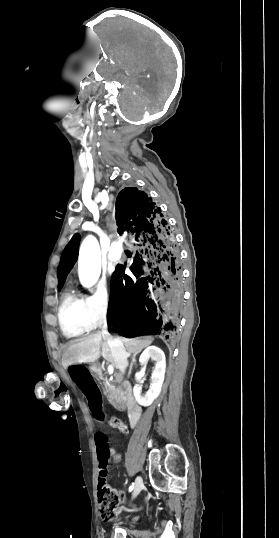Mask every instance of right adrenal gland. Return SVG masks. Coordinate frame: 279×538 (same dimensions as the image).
<instances>
[{"instance_id": "right-adrenal-gland-1", "label": "right adrenal gland", "mask_w": 279, "mask_h": 538, "mask_svg": "<svg viewBox=\"0 0 279 538\" xmlns=\"http://www.w3.org/2000/svg\"><path fill=\"white\" fill-rule=\"evenodd\" d=\"M136 356H137V352H135V354H133V358H132V362H131V364H130V368H129V372H128V374H131V372H132L133 364H134V362H136Z\"/></svg>"}]
</instances>
